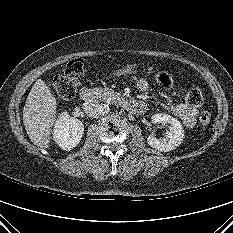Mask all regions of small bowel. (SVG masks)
I'll list each match as a JSON object with an SVG mask.
<instances>
[{"mask_svg":"<svg viewBox=\"0 0 233 233\" xmlns=\"http://www.w3.org/2000/svg\"><path fill=\"white\" fill-rule=\"evenodd\" d=\"M157 80L159 84L164 87H169L172 83L170 76L164 72L158 74ZM137 87L140 91H146L149 87L148 81L144 78L139 79L137 82ZM170 110L183 122L186 127L191 128L195 125L198 112L196 108L191 107L186 102H179L172 104L170 106Z\"/></svg>","mask_w":233,"mask_h":233,"instance_id":"obj_1","label":"small bowel"}]
</instances>
